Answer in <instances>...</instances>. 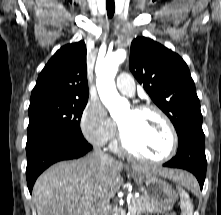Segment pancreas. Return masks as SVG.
I'll use <instances>...</instances> for the list:
<instances>
[{"label":"pancreas","mask_w":221,"mask_h":215,"mask_svg":"<svg viewBox=\"0 0 221 215\" xmlns=\"http://www.w3.org/2000/svg\"><path fill=\"white\" fill-rule=\"evenodd\" d=\"M161 209L156 208L153 206L149 200L144 197H132L129 203V211L131 215H141V213L145 212H159Z\"/></svg>","instance_id":"cf45deb5"}]
</instances>
